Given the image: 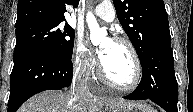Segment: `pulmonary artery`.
<instances>
[{
	"label": "pulmonary artery",
	"instance_id": "e3ab8cb5",
	"mask_svg": "<svg viewBox=\"0 0 193 112\" xmlns=\"http://www.w3.org/2000/svg\"><path fill=\"white\" fill-rule=\"evenodd\" d=\"M93 14L98 18L112 22L115 18V10L110 1H103L101 2L94 10Z\"/></svg>",
	"mask_w": 193,
	"mask_h": 112
}]
</instances>
